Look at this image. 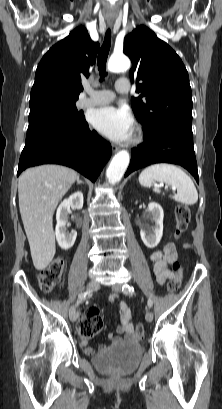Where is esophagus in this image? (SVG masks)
Wrapping results in <instances>:
<instances>
[{
  "instance_id": "esophagus-1",
  "label": "esophagus",
  "mask_w": 222,
  "mask_h": 409,
  "mask_svg": "<svg viewBox=\"0 0 222 409\" xmlns=\"http://www.w3.org/2000/svg\"><path fill=\"white\" fill-rule=\"evenodd\" d=\"M109 25H112V22H108ZM112 151L115 153L118 151V147L117 146H112Z\"/></svg>"
}]
</instances>
